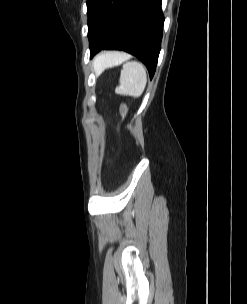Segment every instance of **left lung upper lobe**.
I'll list each match as a JSON object with an SVG mask.
<instances>
[{"label": "left lung upper lobe", "mask_w": 247, "mask_h": 304, "mask_svg": "<svg viewBox=\"0 0 247 304\" xmlns=\"http://www.w3.org/2000/svg\"><path fill=\"white\" fill-rule=\"evenodd\" d=\"M102 0H87V15H88V22L92 19L95 15L100 3Z\"/></svg>", "instance_id": "5c2ea615"}]
</instances>
